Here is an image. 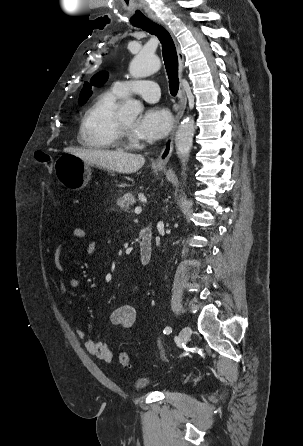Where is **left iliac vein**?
<instances>
[{
    "mask_svg": "<svg viewBox=\"0 0 303 446\" xmlns=\"http://www.w3.org/2000/svg\"><path fill=\"white\" fill-rule=\"evenodd\" d=\"M191 335V328L189 326H185L181 329L178 335V340L181 344H186L189 341Z\"/></svg>",
    "mask_w": 303,
    "mask_h": 446,
    "instance_id": "1",
    "label": "left iliac vein"
}]
</instances>
